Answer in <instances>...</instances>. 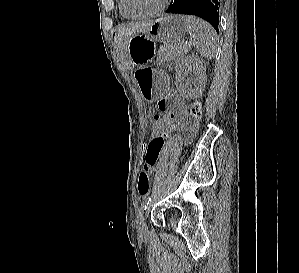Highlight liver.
<instances>
[{
	"mask_svg": "<svg viewBox=\"0 0 299 273\" xmlns=\"http://www.w3.org/2000/svg\"><path fill=\"white\" fill-rule=\"evenodd\" d=\"M153 23V20L127 23L118 28L114 43L121 60L124 61V64L128 69H133L134 66L128 52V44L130 39L137 34L148 32Z\"/></svg>",
	"mask_w": 299,
	"mask_h": 273,
	"instance_id": "obj_1",
	"label": "liver"
}]
</instances>
